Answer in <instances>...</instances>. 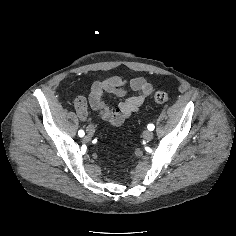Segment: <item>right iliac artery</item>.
I'll list each match as a JSON object with an SVG mask.
<instances>
[{
    "label": "right iliac artery",
    "mask_w": 236,
    "mask_h": 236,
    "mask_svg": "<svg viewBox=\"0 0 236 236\" xmlns=\"http://www.w3.org/2000/svg\"><path fill=\"white\" fill-rule=\"evenodd\" d=\"M78 135H79L80 137H83V136L85 135V133H84L83 130H79Z\"/></svg>",
    "instance_id": "1"
}]
</instances>
